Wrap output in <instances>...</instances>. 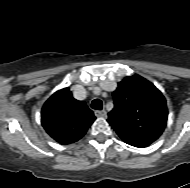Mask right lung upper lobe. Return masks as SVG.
Wrapping results in <instances>:
<instances>
[{
  "label": "right lung upper lobe",
  "mask_w": 190,
  "mask_h": 188,
  "mask_svg": "<svg viewBox=\"0 0 190 188\" xmlns=\"http://www.w3.org/2000/svg\"><path fill=\"white\" fill-rule=\"evenodd\" d=\"M95 119L94 113L84 101L72 97L69 88L55 92L41 111L42 126L62 145L81 139Z\"/></svg>",
  "instance_id": "right-lung-upper-lobe-1"
}]
</instances>
